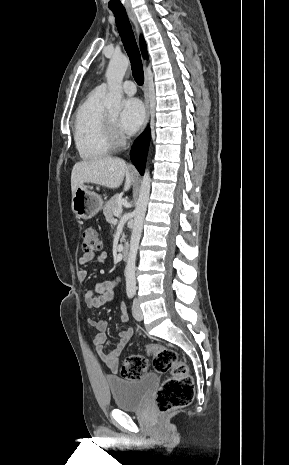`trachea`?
Masks as SVG:
<instances>
[{"label":"trachea","instance_id":"3493384b","mask_svg":"<svg viewBox=\"0 0 289 465\" xmlns=\"http://www.w3.org/2000/svg\"><path fill=\"white\" fill-rule=\"evenodd\" d=\"M116 18V26L129 56L133 77L138 85L144 83V72L140 52L125 9L112 10Z\"/></svg>","mask_w":289,"mask_h":465}]
</instances>
